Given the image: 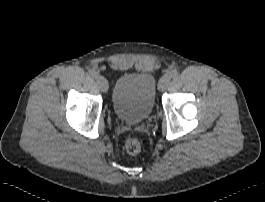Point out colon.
Here are the masks:
<instances>
[{
	"instance_id": "obj_1",
	"label": "colon",
	"mask_w": 265,
	"mask_h": 202,
	"mask_svg": "<svg viewBox=\"0 0 265 202\" xmlns=\"http://www.w3.org/2000/svg\"><path fill=\"white\" fill-rule=\"evenodd\" d=\"M125 149L131 155H136L141 150V143L135 137L128 138L125 142Z\"/></svg>"
}]
</instances>
